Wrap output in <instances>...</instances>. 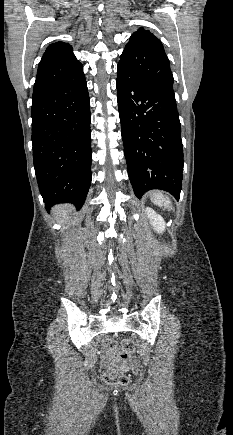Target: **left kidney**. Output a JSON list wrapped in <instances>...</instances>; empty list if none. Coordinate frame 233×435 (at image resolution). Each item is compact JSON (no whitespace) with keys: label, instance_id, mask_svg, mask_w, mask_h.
Listing matches in <instances>:
<instances>
[{"label":"left kidney","instance_id":"1","mask_svg":"<svg viewBox=\"0 0 233 435\" xmlns=\"http://www.w3.org/2000/svg\"><path fill=\"white\" fill-rule=\"evenodd\" d=\"M146 213L154 229L158 233H162L165 229L164 219L159 214H157L152 208L147 207Z\"/></svg>","mask_w":233,"mask_h":435}]
</instances>
